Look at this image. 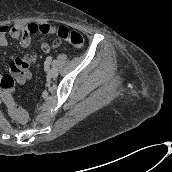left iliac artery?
Returning <instances> with one entry per match:
<instances>
[{
	"label": "left iliac artery",
	"mask_w": 172,
	"mask_h": 172,
	"mask_svg": "<svg viewBox=\"0 0 172 172\" xmlns=\"http://www.w3.org/2000/svg\"><path fill=\"white\" fill-rule=\"evenodd\" d=\"M47 61L51 62L52 61V58L51 57H48L47 58ZM53 63H55V61H53Z\"/></svg>",
	"instance_id": "obj_1"
}]
</instances>
